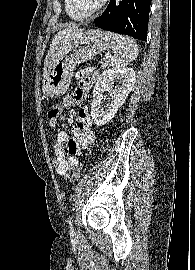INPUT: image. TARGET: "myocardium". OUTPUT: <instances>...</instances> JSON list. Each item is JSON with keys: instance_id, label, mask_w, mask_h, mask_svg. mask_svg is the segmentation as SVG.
<instances>
[{"instance_id": "1", "label": "myocardium", "mask_w": 195, "mask_h": 270, "mask_svg": "<svg viewBox=\"0 0 195 270\" xmlns=\"http://www.w3.org/2000/svg\"><path fill=\"white\" fill-rule=\"evenodd\" d=\"M68 1H69V6H70L71 10L75 14H77L79 17H81L83 19H87V18L93 17L96 14H98L105 7V5L107 4V2L109 0H101L96 8H94L93 10L86 12V13H83V12L78 10V8L76 7V5L74 3V0H68Z\"/></svg>"}]
</instances>
